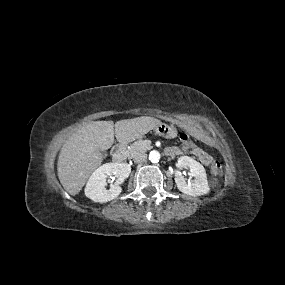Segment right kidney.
I'll return each instance as SVG.
<instances>
[{"label":"right kidney","mask_w":285,"mask_h":285,"mask_svg":"<svg viewBox=\"0 0 285 285\" xmlns=\"http://www.w3.org/2000/svg\"><path fill=\"white\" fill-rule=\"evenodd\" d=\"M131 168L126 163H106L97 168L90 176L85 195L94 202L105 203L118 197L122 188L120 184L129 176ZM109 176L117 178L116 182L106 188Z\"/></svg>","instance_id":"obj_1"}]
</instances>
